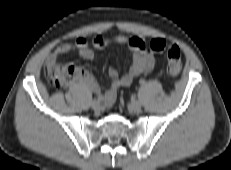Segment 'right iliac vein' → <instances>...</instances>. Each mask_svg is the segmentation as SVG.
Returning <instances> with one entry per match:
<instances>
[{"instance_id":"63e3f726","label":"right iliac vein","mask_w":231,"mask_h":170,"mask_svg":"<svg viewBox=\"0 0 231 170\" xmlns=\"http://www.w3.org/2000/svg\"><path fill=\"white\" fill-rule=\"evenodd\" d=\"M91 107H92V109L95 110V111L99 110L100 107H101V101H100V100H97V99L93 100V101L91 102Z\"/></svg>"}]
</instances>
